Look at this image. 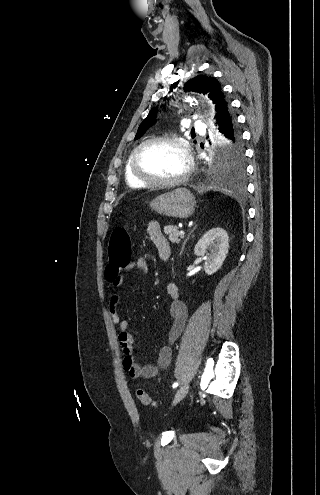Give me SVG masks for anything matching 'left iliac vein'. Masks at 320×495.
Here are the masks:
<instances>
[{
    "mask_svg": "<svg viewBox=\"0 0 320 495\" xmlns=\"http://www.w3.org/2000/svg\"><path fill=\"white\" fill-rule=\"evenodd\" d=\"M189 391V384L188 383H185L183 384L178 390H177V393L174 397V400H173V404H177L178 402H180L185 396L186 394L188 393Z\"/></svg>",
    "mask_w": 320,
    "mask_h": 495,
    "instance_id": "4c4485c4",
    "label": "left iliac vein"
}]
</instances>
